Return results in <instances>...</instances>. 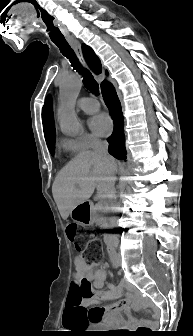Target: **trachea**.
I'll return each mask as SVG.
<instances>
[{
	"label": "trachea",
	"instance_id": "obj_1",
	"mask_svg": "<svg viewBox=\"0 0 193 336\" xmlns=\"http://www.w3.org/2000/svg\"><path fill=\"white\" fill-rule=\"evenodd\" d=\"M51 28H54L53 25ZM54 44L59 48L63 56L67 57L70 60L73 68L78 71L83 76L84 86L90 90L92 93H98L99 87L98 83L92 76V74L79 63L78 59L75 56L73 49L70 47L68 42L65 41H53Z\"/></svg>",
	"mask_w": 193,
	"mask_h": 336
}]
</instances>
